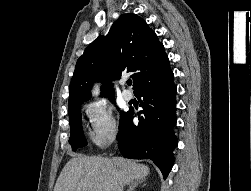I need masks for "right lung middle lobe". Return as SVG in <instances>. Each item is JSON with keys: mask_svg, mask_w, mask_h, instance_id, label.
<instances>
[{"mask_svg": "<svg viewBox=\"0 0 251 191\" xmlns=\"http://www.w3.org/2000/svg\"><path fill=\"white\" fill-rule=\"evenodd\" d=\"M111 101L114 102V99H112ZM68 113L71 128L69 143L72 146V150L76 151L78 148L84 147L87 144L82 130L81 108L80 106L70 107L68 108ZM127 116L128 112H121L120 125L123 123Z\"/></svg>", "mask_w": 251, "mask_h": 191, "instance_id": "right-lung-middle-lobe-1", "label": "right lung middle lobe"}]
</instances>
